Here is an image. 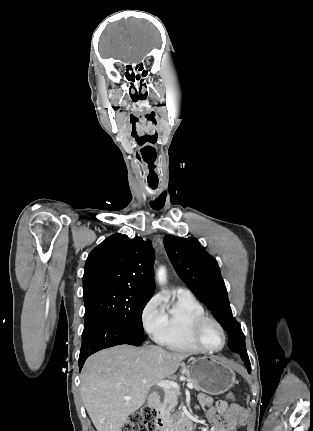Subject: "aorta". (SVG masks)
Segmentation results:
<instances>
[{
	"label": "aorta",
	"instance_id": "762f6f07",
	"mask_svg": "<svg viewBox=\"0 0 313 431\" xmlns=\"http://www.w3.org/2000/svg\"><path fill=\"white\" fill-rule=\"evenodd\" d=\"M157 281L163 285L167 281L166 269L165 267H160L157 271Z\"/></svg>",
	"mask_w": 313,
	"mask_h": 431
}]
</instances>
